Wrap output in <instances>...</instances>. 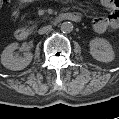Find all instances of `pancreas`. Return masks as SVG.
Masks as SVG:
<instances>
[{"instance_id": "1", "label": "pancreas", "mask_w": 119, "mask_h": 119, "mask_svg": "<svg viewBox=\"0 0 119 119\" xmlns=\"http://www.w3.org/2000/svg\"><path fill=\"white\" fill-rule=\"evenodd\" d=\"M36 27V25H33L32 27H31V29H33V28H35Z\"/></svg>"}]
</instances>
